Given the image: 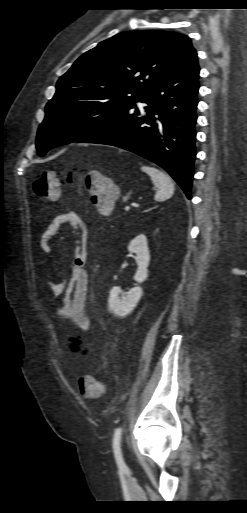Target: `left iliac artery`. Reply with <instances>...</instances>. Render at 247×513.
<instances>
[{"label":"left iliac artery","mask_w":247,"mask_h":513,"mask_svg":"<svg viewBox=\"0 0 247 513\" xmlns=\"http://www.w3.org/2000/svg\"><path fill=\"white\" fill-rule=\"evenodd\" d=\"M121 436H122V428L119 427L115 430L114 436H113V451H114V457L117 463V466L121 470H126L127 466L123 459V454L121 450Z\"/></svg>","instance_id":"44dca946"}]
</instances>
